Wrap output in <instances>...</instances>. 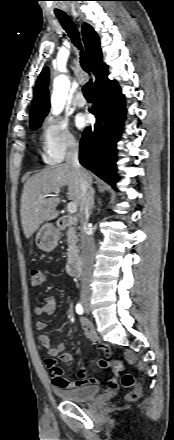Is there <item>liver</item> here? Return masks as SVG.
<instances>
[{"label":"liver","mask_w":174,"mask_h":440,"mask_svg":"<svg viewBox=\"0 0 174 440\" xmlns=\"http://www.w3.org/2000/svg\"><path fill=\"white\" fill-rule=\"evenodd\" d=\"M87 172V171H86ZM90 183L92 176L87 172ZM67 186L68 199L81 204V188L76 170L68 164L46 169L32 176L24 185L21 196V223L24 235L29 239L39 226L58 217L56 207L60 198L50 197L40 199L41 195L47 196L57 189Z\"/></svg>","instance_id":"liver-1"}]
</instances>
